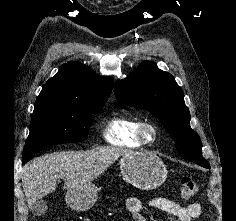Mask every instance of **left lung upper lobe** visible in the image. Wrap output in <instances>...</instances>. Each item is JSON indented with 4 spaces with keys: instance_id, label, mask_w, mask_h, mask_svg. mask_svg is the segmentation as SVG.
I'll list each match as a JSON object with an SVG mask.
<instances>
[{
    "instance_id": "left-lung-upper-lobe-1",
    "label": "left lung upper lobe",
    "mask_w": 236,
    "mask_h": 221,
    "mask_svg": "<svg viewBox=\"0 0 236 221\" xmlns=\"http://www.w3.org/2000/svg\"><path fill=\"white\" fill-rule=\"evenodd\" d=\"M114 92L119 104L143 107L157 116L182 156L210 168L202 156L200 138L190 127L182 89L170 73L158 69L154 62L144 61L126 79L117 80Z\"/></svg>"
}]
</instances>
